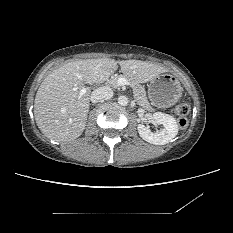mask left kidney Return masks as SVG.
I'll list each match as a JSON object with an SVG mask.
<instances>
[{
	"instance_id": "left-kidney-1",
	"label": "left kidney",
	"mask_w": 233,
	"mask_h": 233,
	"mask_svg": "<svg viewBox=\"0 0 233 233\" xmlns=\"http://www.w3.org/2000/svg\"><path fill=\"white\" fill-rule=\"evenodd\" d=\"M152 119L154 123L163 125V129L152 132L149 127L139 124L137 127L138 133L145 141L155 145H164L177 135L178 126L174 117L161 112H156L153 114Z\"/></svg>"
}]
</instances>
